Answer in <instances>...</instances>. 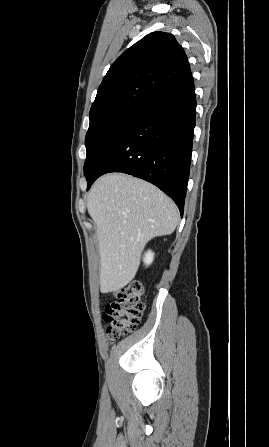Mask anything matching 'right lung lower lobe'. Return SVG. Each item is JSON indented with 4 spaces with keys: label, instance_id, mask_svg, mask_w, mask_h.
Returning a JSON list of instances; mask_svg holds the SVG:
<instances>
[{
    "label": "right lung lower lobe",
    "instance_id": "right-lung-lower-lobe-1",
    "mask_svg": "<svg viewBox=\"0 0 269 447\" xmlns=\"http://www.w3.org/2000/svg\"><path fill=\"white\" fill-rule=\"evenodd\" d=\"M196 97L191 71L143 104L93 162L88 187L108 172H123L156 185L181 216L190 172Z\"/></svg>",
    "mask_w": 269,
    "mask_h": 447
}]
</instances>
